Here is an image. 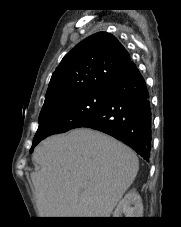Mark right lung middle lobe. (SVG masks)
Masks as SVG:
<instances>
[{"label": "right lung middle lobe", "instance_id": "1", "mask_svg": "<svg viewBox=\"0 0 181 227\" xmlns=\"http://www.w3.org/2000/svg\"><path fill=\"white\" fill-rule=\"evenodd\" d=\"M108 96L109 89L106 88L65 98L43 108L30 152L50 135L81 127L104 107Z\"/></svg>", "mask_w": 181, "mask_h": 227}]
</instances>
